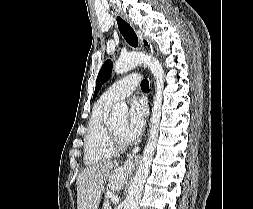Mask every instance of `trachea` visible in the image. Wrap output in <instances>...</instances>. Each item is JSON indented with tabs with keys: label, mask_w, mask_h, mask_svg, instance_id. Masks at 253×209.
Listing matches in <instances>:
<instances>
[{
	"label": "trachea",
	"mask_w": 253,
	"mask_h": 209,
	"mask_svg": "<svg viewBox=\"0 0 253 209\" xmlns=\"http://www.w3.org/2000/svg\"><path fill=\"white\" fill-rule=\"evenodd\" d=\"M141 88L142 89H149V82H148V80H146V79L142 80V82H141Z\"/></svg>",
	"instance_id": "trachea-1"
}]
</instances>
